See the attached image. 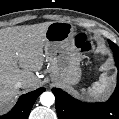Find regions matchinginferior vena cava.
<instances>
[{"label": "inferior vena cava", "instance_id": "602c4592", "mask_svg": "<svg viewBox=\"0 0 119 119\" xmlns=\"http://www.w3.org/2000/svg\"><path fill=\"white\" fill-rule=\"evenodd\" d=\"M26 83H27V79H20V80L15 82L14 86L18 87V88H21L24 85H26Z\"/></svg>", "mask_w": 119, "mask_h": 119}]
</instances>
